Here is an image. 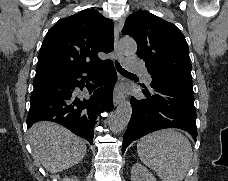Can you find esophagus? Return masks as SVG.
Segmentation results:
<instances>
[{
    "label": "esophagus",
    "instance_id": "obj_1",
    "mask_svg": "<svg viewBox=\"0 0 228 181\" xmlns=\"http://www.w3.org/2000/svg\"><path fill=\"white\" fill-rule=\"evenodd\" d=\"M121 25L118 24L117 22L115 23V40H114V51L117 53V58L118 60H123L124 56L120 53L119 48H118V42H119V32L121 30ZM123 78L119 76L118 82L121 83ZM124 100V95L121 93H115L113 103L114 106H118L122 101Z\"/></svg>",
    "mask_w": 228,
    "mask_h": 181
}]
</instances>
